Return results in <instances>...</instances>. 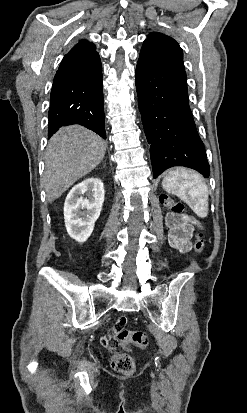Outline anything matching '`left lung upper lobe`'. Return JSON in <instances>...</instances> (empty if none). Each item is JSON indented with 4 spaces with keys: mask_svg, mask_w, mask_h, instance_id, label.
I'll use <instances>...</instances> for the list:
<instances>
[{
    "mask_svg": "<svg viewBox=\"0 0 247 413\" xmlns=\"http://www.w3.org/2000/svg\"><path fill=\"white\" fill-rule=\"evenodd\" d=\"M142 48L154 50L183 65V51L178 43L171 37L162 33H150L144 41Z\"/></svg>",
    "mask_w": 247,
    "mask_h": 413,
    "instance_id": "left-lung-upper-lobe-1",
    "label": "left lung upper lobe"
}]
</instances>
